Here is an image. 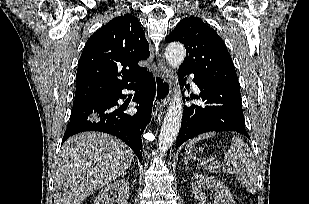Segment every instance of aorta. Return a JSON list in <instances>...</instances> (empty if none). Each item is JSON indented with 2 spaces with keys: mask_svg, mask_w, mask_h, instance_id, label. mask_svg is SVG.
Listing matches in <instances>:
<instances>
[{
  "mask_svg": "<svg viewBox=\"0 0 309 204\" xmlns=\"http://www.w3.org/2000/svg\"><path fill=\"white\" fill-rule=\"evenodd\" d=\"M186 50L181 43H170L165 50V57L168 63L178 69L184 61ZM183 115V101L181 91L177 87L174 91L173 99L169 103L163 125L161 127L158 149L161 152H166L175 141L181 126Z\"/></svg>",
  "mask_w": 309,
  "mask_h": 204,
  "instance_id": "aorta-1",
  "label": "aorta"
}]
</instances>
